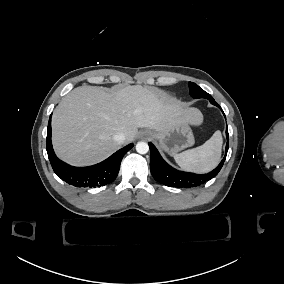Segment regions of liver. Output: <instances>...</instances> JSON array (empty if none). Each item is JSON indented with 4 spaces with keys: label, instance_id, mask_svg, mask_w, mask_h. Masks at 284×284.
Here are the masks:
<instances>
[{
    "label": "liver",
    "instance_id": "liver-1",
    "mask_svg": "<svg viewBox=\"0 0 284 284\" xmlns=\"http://www.w3.org/2000/svg\"><path fill=\"white\" fill-rule=\"evenodd\" d=\"M185 122L200 125L203 115L197 108L184 109L179 102L168 101L162 92L133 85L110 94L100 87L81 86L57 106L52 117V141L60 159L87 166L121 147L113 139L117 133H123L124 144H129L138 128L159 131Z\"/></svg>",
    "mask_w": 284,
    "mask_h": 284
}]
</instances>
